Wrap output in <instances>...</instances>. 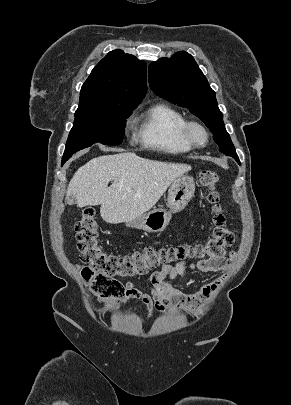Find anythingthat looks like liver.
<instances>
[{
	"label": "liver",
	"instance_id": "obj_1",
	"mask_svg": "<svg viewBox=\"0 0 291 405\" xmlns=\"http://www.w3.org/2000/svg\"><path fill=\"white\" fill-rule=\"evenodd\" d=\"M190 169L132 152L99 156L76 171L66 199L72 198L80 208L101 205L100 214L107 223L130 222L149 211L170 184Z\"/></svg>",
	"mask_w": 291,
	"mask_h": 405
}]
</instances>
